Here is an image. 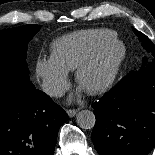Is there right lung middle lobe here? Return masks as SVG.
<instances>
[{
    "mask_svg": "<svg viewBox=\"0 0 155 155\" xmlns=\"http://www.w3.org/2000/svg\"><path fill=\"white\" fill-rule=\"evenodd\" d=\"M40 25H24L0 31V90L26 97L33 88L26 63L29 41Z\"/></svg>",
    "mask_w": 155,
    "mask_h": 155,
    "instance_id": "dd1d6c3e",
    "label": "right lung middle lobe"
}]
</instances>
